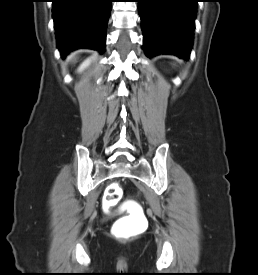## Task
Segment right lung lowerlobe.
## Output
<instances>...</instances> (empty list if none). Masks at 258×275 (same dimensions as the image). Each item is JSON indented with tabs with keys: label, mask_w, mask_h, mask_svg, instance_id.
<instances>
[{
	"label": "right lung lower lobe",
	"mask_w": 258,
	"mask_h": 275,
	"mask_svg": "<svg viewBox=\"0 0 258 275\" xmlns=\"http://www.w3.org/2000/svg\"><path fill=\"white\" fill-rule=\"evenodd\" d=\"M57 47L62 57L78 48L104 52L111 0H53Z\"/></svg>",
	"instance_id": "obj_1"
}]
</instances>
